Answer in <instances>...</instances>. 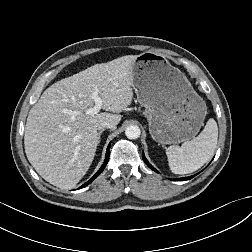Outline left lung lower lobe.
I'll return each instance as SVG.
<instances>
[{
  "label": "left lung lower lobe",
  "instance_id": "0a47b994",
  "mask_svg": "<svg viewBox=\"0 0 252 252\" xmlns=\"http://www.w3.org/2000/svg\"><path fill=\"white\" fill-rule=\"evenodd\" d=\"M142 157H143L144 162L148 165V167L151 168L152 170H154L155 172H157V170L152 165H150V163L147 161V159L144 156V153L142 154ZM194 176L195 175L190 176V177H185V178H178V179H174V180L175 181H184V180H189V179H191Z\"/></svg>",
  "mask_w": 252,
  "mask_h": 252
}]
</instances>
